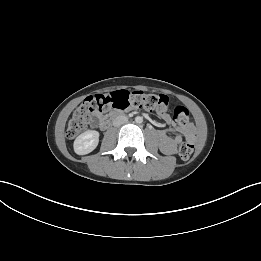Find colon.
Here are the masks:
<instances>
[{
  "instance_id": "colon-1",
  "label": "colon",
  "mask_w": 261,
  "mask_h": 261,
  "mask_svg": "<svg viewBox=\"0 0 261 261\" xmlns=\"http://www.w3.org/2000/svg\"><path fill=\"white\" fill-rule=\"evenodd\" d=\"M169 100L165 95L144 93L142 91L119 90L109 94H96L87 97L71 115L66 136L75 138L85 131L93 116L97 113L107 112L111 108L124 110L127 108H143L156 110L159 113L166 112ZM173 120L180 125H185L190 120L188 109L183 105H177L172 112ZM194 152V144L186 141L180 144L179 155L182 159H189Z\"/></svg>"
}]
</instances>
